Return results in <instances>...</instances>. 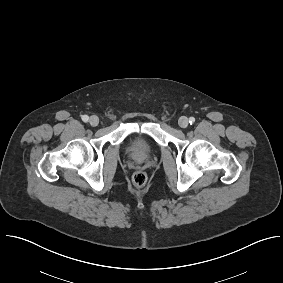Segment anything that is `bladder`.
Wrapping results in <instances>:
<instances>
[{"mask_svg":"<svg viewBox=\"0 0 283 283\" xmlns=\"http://www.w3.org/2000/svg\"><path fill=\"white\" fill-rule=\"evenodd\" d=\"M127 151L132 156H144L149 153V147L140 138L135 137L128 142Z\"/></svg>","mask_w":283,"mask_h":283,"instance_id":"obj_1","label":"bladder"}]
</instances>
